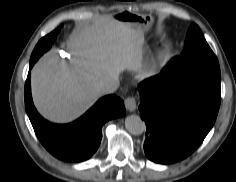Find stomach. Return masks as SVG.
<instances>
[{
	"mask_svg": "<svg viewBox=\"0 0 236 182\" xmlns=\"http://www.w3.org/2000/svg\"><path fill=\"white\" fill-rule=\"evenodd\" d=\"M116 19L133 29L150 31L153 25V18L150 16L124 11L116 16Z\"/></svg>",
	"mask_w": 236,
	"mask_h": 182,
	"instance_id": "0dacf381",
	"label": "stomach"
}]
</instances>
